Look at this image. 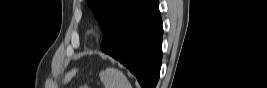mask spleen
<instances>
[{
    "label": "spleen",
    "mask_w": 267,
    "mask_h": 88,
    "mask_svg": "<svg viewBox=\"0 0 267 88\" xmlns=\"http://www.w3.org/2000/svg\"><path fill=\"white\" fill-rule=\"evenodd\" d=\"M99 76L105 88H132L127 77L117 68H106Z\"/></svg>",
    "instance_id": "3e777b00"
}]
</instances>
